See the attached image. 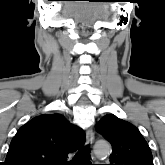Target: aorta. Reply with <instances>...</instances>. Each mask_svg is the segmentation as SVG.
<instances>
[{
	"instance_id": "aorta-1",
	"label": "aorta",
	"mask_w": 165,
	"mask_h": 165,
	"mask_svg": "<svg viewBox=\"0 0 165 165\" xmlns=\"http://www.w3.org/2000/svg\"><path fill=\"white\" fill-rule=\"evenodd\" d=\"M111 152V146L106 141H100L95 144V153L97 156H106Z\"/></svg>"
}]
</instances>
